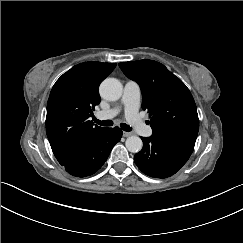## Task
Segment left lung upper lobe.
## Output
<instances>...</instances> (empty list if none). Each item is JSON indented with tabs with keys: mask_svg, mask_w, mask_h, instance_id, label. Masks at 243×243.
Masks as SVG:
<instances>
[{
	"mask_svg": "<svg viewBox=\"0 0 243 243\" xmlns=\"http://www.w3.org/2000/svg\"><path fill=\"white\" fill-rule=\"evenodd\" d=\"M141 88L142 108L148 110L153 134L195 143L199 119L186 85L163 64L153 60L119 63Z\"/></svg>",
	"mask_w": 243,
	"mask_h": 243,
	"instance_id": "1",
	"label": "left lung upper lobe"
}]
</instances>
